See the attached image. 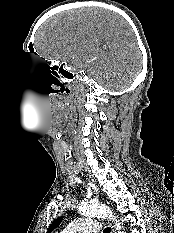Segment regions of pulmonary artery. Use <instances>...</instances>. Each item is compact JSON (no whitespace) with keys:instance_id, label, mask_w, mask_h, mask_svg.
Listing matches in <instances>:
<instances>
[{"instance_id":"e3ab8cb5","label":"pulmonary artery","mask_w":174,"mask_h":233,"mask_svg":"<svg viewBox=\"0 0 174 233\" xmlns=\"http://www.w3.org/2000/svg\"><path fill=\"white\" fill-rule=\"evenodd\" d=\"M100 229L99 222L90 218H80L73 221L60 233H98Z\"/></svg>"}]
</instances>
